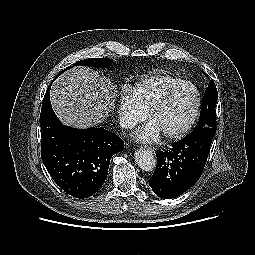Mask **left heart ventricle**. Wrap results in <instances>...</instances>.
Returning <instances> with one entry per match:
<instances>
[{
    "label": "left heart ventricle",
    "mask_w": 255,
    "mask_h": 255,
    "mask_svg": "<svg viewBox=\"0 0 255 255\" xmlns=\"http://www.w3.org/2000/svg\"><path fill=\"white\" fill-rule=\"evenodd\" d=\"M195 104L196 91L192 87H187L158 112L152 121L159 127L162 134L177 131L189 121Z\"/></svg>",
    "instance_id": "1"
}]
</instances>
